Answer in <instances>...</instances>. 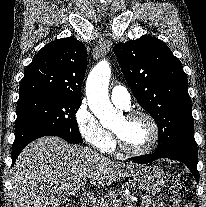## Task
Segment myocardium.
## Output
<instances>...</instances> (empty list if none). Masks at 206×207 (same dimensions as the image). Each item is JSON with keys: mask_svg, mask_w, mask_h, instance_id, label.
Returning <instances> with one entry per match:
<instances>
[{"mask_svg": "<svg viewBox=\"0 0 206 207\" xmlns=\"http://www.w3.org/2000/svg\"><path fill=\"white\" fill-rule=\"evenodd\" d=\"M124 118L126 120H134L137 118H143L147 120L152 130V137L146 147L138 150H131L124 145L118 133L114 131L113 133H114L116 145L120 150V152L128 157H140L149 154L156 147L160 138V128L155 118L148 112L141 111V110H133L127 113L124 116Z\"/></svg>", "mask_w": 206, "mask_h": 207, "instance_id": "1", "label": "myocardium"}]
</instances>
